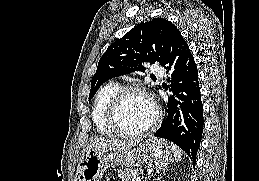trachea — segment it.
Listing matches in <instances>:
<instances>
[{"label":"trachea","mask_w":259,"mask_h":181,"mask_svg":"<svg viewBox=\"0 0 259 181\" xmlns=\"http://www.w3.org/2000/svg\"><path fill=\"white\" fill-rule=\"evenodd\" d=\"M151 77H152V78H154L155 76H154V75H152Z\"/></svg>","instance_id":"1"}]
</instances>
